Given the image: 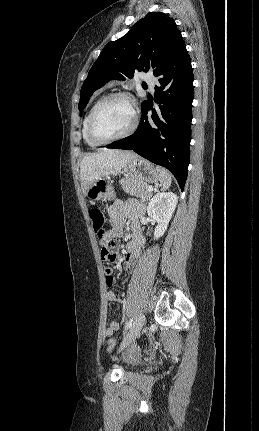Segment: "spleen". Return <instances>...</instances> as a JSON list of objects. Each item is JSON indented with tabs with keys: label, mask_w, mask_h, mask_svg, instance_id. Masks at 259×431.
<instances>
[{
	"label": "spleen",
	"mask_w": 259,
	"mask_h": 431,
	"mask_svg": "<svg viewBox=\"0 0 259 431\" xmlns=\"http://www.w3.org/2000/svg\"><path fill=\"white\" fill-rule=\"evenodd\" d=\"M156 169L160 176V184L162 186V189L163 190L168 189L172 183L171 173L167 169L160 166H157Z\"/></svg>",
	"instance_id": "1"
}]
</instances>
